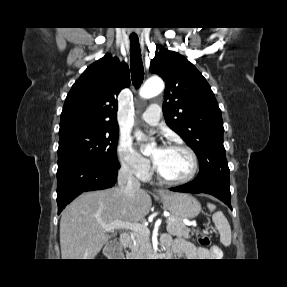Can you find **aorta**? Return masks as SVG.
<instances>
[{"instance_id":"762f6f07","label":"aorta","mask_w":287,"mask_h":287,"mask_svg":"<svg viewBox=\"0 0 287 287\" xmlns=\"http://www.w3.org/2000/svg\"><path fill=\"white\" fill-rule=\"evenodd\" d=\"M164 89V83L161 79L159 78H151L145 82V84L141 87L139 91L140 97L144 99H149L152 98L159 93H161ZM136 134H141L140 132H137ZM153 144L152 145H147L143 153H150L152 150Z\"/></svg>"}]
</instances>
